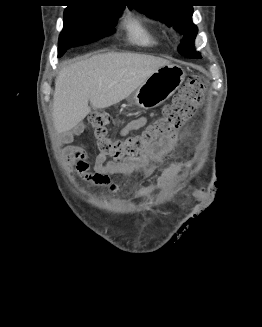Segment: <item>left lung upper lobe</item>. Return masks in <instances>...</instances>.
<instances>
[{"label": "left lung upper lobe", "mask_w": 262, "mask_h": 327, "mask_svg": "<svg viewBox=\"0 0 262 327\" xmlns=\"http://www.w3.org/2000/svg\"><path fill=\"white\" fill-rule=\"evenodd\" d=\"M134 8L150 18L166 23L182 34L184 37L178 47L181 55L187 58H201L199 52L194 51L198 29L192 22V6L178 4L174 0H139Z\"/></svg>", "instance_id": "obj_1"}]
</instances>
